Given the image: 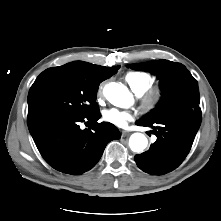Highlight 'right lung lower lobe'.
I'll return each mask as SVG.
<instances>
[{"label": "right lung lower lobe", "mask_w": 221, "mask_h": 221, "mask_svg": "<svg viewBox=\"0 0 221 221\" xmlns=\"http://www.w3.org/2000/svg\"><path fill=\"white\" fill-rule=\"evenodd\" d=\"M100 112L79 116L60 111L28 113L27 122L33 140L46 162L54 169L72 175L95 166L106 145L121 137L111 123H97ZM81 122L92 125L82 130Z\"/></svg>", "instance_id": "98d812e1"}]
</instances>
